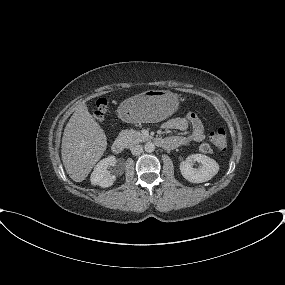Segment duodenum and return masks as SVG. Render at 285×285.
<instances>
[{
  "label": "duodenum",
  "mask_w": 285,
  "mask_h": 285,
  "mask_svg": "<svg viewBox=\"0 0 285 285\" xmlns=\"http://www.w3.org/2000/svg\"><path fill=\"white\" fill-rule=\"evenodd\" d=\"M154 142L159 145V146H162V147H165L166 146V141L165 139H162V138H156L154 140ZM111 150L113 153L115 154H121L124 150H125V142L123 139L121 138H118L116 139L112 146H111Z\"/></svg>",
  "instance_id": "duodenum-1"
}]
</instances>
